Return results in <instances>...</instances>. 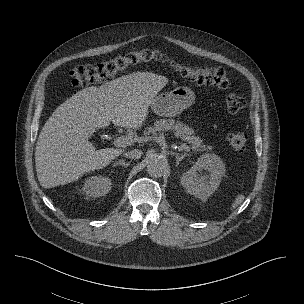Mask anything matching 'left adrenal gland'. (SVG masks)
<instances>
[{"mask_svg": "<svg viewBox=\"0 0 304 304\" xmlns=\"http://www.w3.org/2000/svg\"><path fill=\"white\" fill-rule=\"evenodd\" d=\"M171 154L176 157V166H178L179 162H181L185 157L189 156L188 153L179 154V153L172 152Z\"/></svg>", "mask_w": 304, "mask_h": 304, "instance_id": "left-adrenal-gland-1", "label": "left adrenal gland"}]
</instances>
